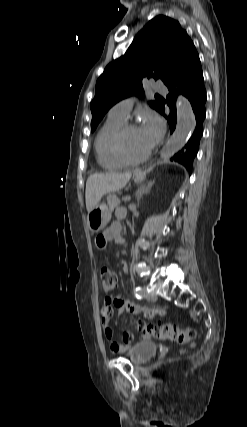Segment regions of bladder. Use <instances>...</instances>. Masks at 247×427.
<instances>
[{
	"instance_id": "bladder-1",
	"label": "bladder",
	"mask_w": 247,
	"mask_h": 427,
	"mask_svg": "<svg viewBox=\"0 0 247 427\" xmlns=\"http://www.w3.org/2000/svg\"><path fill=\"white\" fill-rule=\"evenodd\" d=\"M157 352V346L152 342L137 343L130 347L125 355L133 364H144Z\"/></svg>"
}]
</instances>
